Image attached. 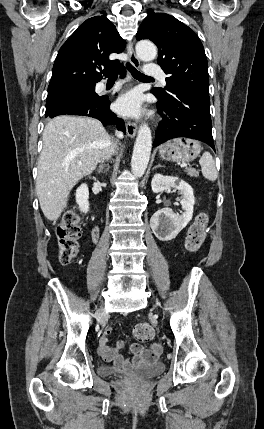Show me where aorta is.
I'll list each match as a JSON object with an SVG mask.
<instances>
[{
  "label": "aorta",
  "instance_id": "aorta-1",
  "mask_svg": "<svg viewBox=\"0 0 264 429\" xmlns=\"http://www.w3.org/2000/svg\"><path fill=\"white\" fill-rule=\"evenodd\" d=\"M136 54L142 61H152L157 55V48L152 42L141 40L136 44ZM151 147V130L147 124H143L139 127L131 159V169L135 176L141 177L145 173L150 159Z\"/></svg>",
  "mask_w": 264,
  "mask_h": 429
}]
</instances>
